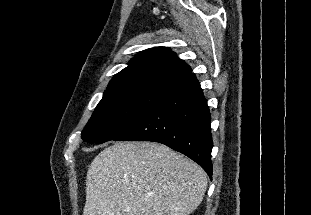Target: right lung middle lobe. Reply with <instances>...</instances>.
<instances>
[{
  "label": "right lung middle lobe",
  "instance_id": "1",
  "mask_svg": "<svg viewBox=\"0 0 311 215\" xmlns=\"http://www.w3.org/2000/svg\"><path fill=\"white\" fill-rule=\"evenodd\" d=\"M169 86L133 84L107 89L82 131V139L104 143L122 135L158 103Z\"/></svg>",
  "mask_w": 311,
  "mask_h": 215
}]
</instances>
